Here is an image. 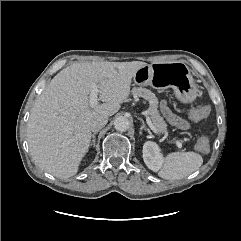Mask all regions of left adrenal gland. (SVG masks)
Returning <instances> with one entry per match:
<instances>
[{
    "instance_id": "1",
    "label": "left adrenal gland",
    "mask_w": 241,
    "mask_h": 241,
    "mask_svg": "<svg viewBox=\"0 0 241 241\" xmlns=\"http://www.w3.org/2000/svg\"><path fill=\"white\" fill-rule=\"evenodd\" d=\"M139 120L142 122V126H141L140 132H139V134L141 135V134H142V131H143V130H148V128H147V126L145 125V122H144V120H143L142 118H139Z\"/></svg>"
}]
</instances>
